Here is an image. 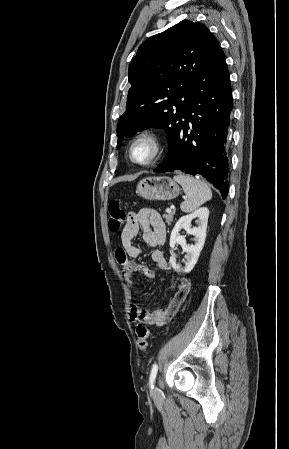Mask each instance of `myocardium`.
<instances>
[{
    "instance_id": "myocardium-1",
    "label": "myocardium",
    "mask_w": 289,
    "mask_h": 449,
    "mask_svg": "<svg viewBox=\"0 0 289 449\" xmlns=\"http://www.w3.org/2000/svg\"><path fill=\"white\" fill-rule=\"evenodd\" d=\"M140 142H148L152 146V154L145 161H137L133 156V149ZM163 143L160 135L152 130H144L138 133L131 141L128 148V156L132 163L140 166H148L155 162L161 155Z\"/></svg>"
}]
</instances>
